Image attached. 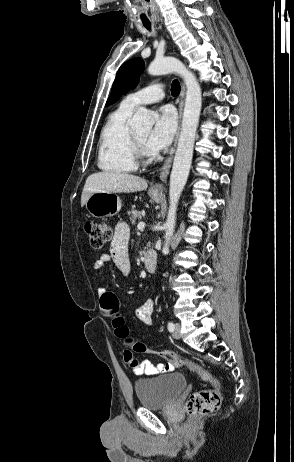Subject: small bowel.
<instances>
[{"label": "small bowel", "mask_w": 294, "mask_h": 462, "mask_svg": "<svg viewBox=\"0 0 294 462\" xmlns=\"http://www.w3.org/2000/svg\"><path fill=\"white\" fill-rule=\"evenodd\" d=\"M129 229L126 224L120 223L114 231V236L110 246V252L102 254L93 265L94 270H101L108 262H113L117 269L124 275L128 276L131 272V262L128 255ZM107 291L106 288H100L98 293L102 296ZM155 310V301L153 299L146 300L135 310L137 319L146 326L152 325V315ZM175 365L166 361L164 363L154 364L148 360L139 362L132 366V371L135 375L153 376L160 373L172 372Z\"/></svg>", "instance_id": "small-bowel-1"}]
</instances>
